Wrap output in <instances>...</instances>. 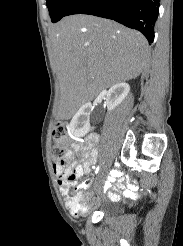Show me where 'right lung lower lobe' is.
Listing matches in <instances>:
<instances>
[{
	"label": "right lung lower lobe",
	"instance_id": "1",
	"mask_svg": "<svg viewBox=\"0 0 183 246\" xmlns=\"http://www.w3.org/2000/svg\"><path fill=\"white\" fill-rule=\"evenodd\" d=\"M160 0H76L65 16L89 14L115 20L140 31L151 44Z\"/></svg>",
	"mask_w": 183,
	"mask_h": 246
}]
</instances>
